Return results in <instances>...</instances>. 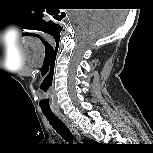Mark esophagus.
<instances>
[{"instance_id":"obj_1","label":"esophagus","mask_w":153,"mask_h":153,"mask_svg":"<svg viewBox=\"0 0 153 153\" xmlns=\"http://www.w3.org/2000/svg\"><path fill=\"white\" fill-rule=\"evenodd\" d=\"M57 116L71 130V132L76 137V139L79 142H81L82 141V136L79 133L78 129L71 122H69L68 119L64 115H62L60 113H57Z\"/></svg>"}]
</instances>
